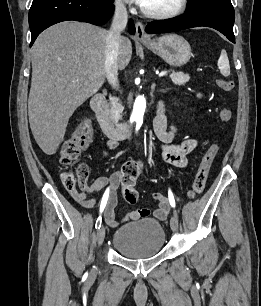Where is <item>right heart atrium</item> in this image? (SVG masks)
Listing matches in <instances>:
<instances>
[{"label": "right heart atrium", "mask_w": 261, "mask_h": 306, "mask_svg": "<svg viewBox=\"0 0 261 306\" xmlns=\"http://www.w3.org/2000/svg\"><path fill=\"white\" fill-rule=\"evenodd\" d=\"M114 5L116 10L124 11L125 10V3L124 0H114Z\"/></svg>", "instance_id": "obj_1"}]
</instances>
